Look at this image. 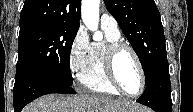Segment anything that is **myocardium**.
Returning a JSON list of instances; mask_svg holds the SVG:
<instances>
[{
	"label": "myocardium",
	"mask_w": 193,
	"mask_h": 112,
	"mask_svg": "<svg viewBox=\"0 0 193 112\" xmlns=\"http://www.w3.org/2000/svg\"><path fill=\"white\" fill-rule=\"evenodd\" d=\"M123 51H128L132 54L139 70L141 85H140L139 91L136 94L128 93L122 87L116 75V70H115L116 59L118 55ZM104 69H105V73L108 81L120 94L134 98V97L140 96L144 92L145 86H146L145 71L139 55L131 45L123 41H114V42L108 43L104 51Z\"/></svg>",
	"instance_id": "obj_1"
}]
</instances>
